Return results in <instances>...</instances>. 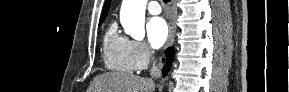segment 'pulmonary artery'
I'll return each instance as SVG.
<instances>
[{
    "label": "pulmonary artery",
    "instance_id": "1",
    "mask_svg": "<svg viewBox=\"0 0 289 92\" xmlns=\"http://www.w3.org/2000/svg\"><path fill=\"white\" fill-rule=\"evenodd\" d=\"M149 13L157 15L161 13V7L157 1H150L147 5Z\"/></svg>",
    "mask_w": 289,
    "mask_h": 92
}]
</instances>
